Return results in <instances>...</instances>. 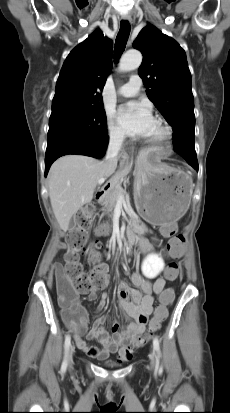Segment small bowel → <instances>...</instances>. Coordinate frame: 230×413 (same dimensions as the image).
Returning a JSON list of instances; mask_svg holds the SVG:
<instances>
[{"instance_id":"small-bowel-1","label":"small bowel","mask_w":230,"mask_h":413,"mask_svg":"<svg viewBox=\"0 0 230 413\" xmlns=\"http://www.w3.org/2000/svg\"><path fill=\"white\" fill-rule=\"evenodd\" d=\"M176 222H163L162 232L165 236L173 235L177 230ZM144 252L151 249V245L144 239H136V242ZM104 269V283L101 287L92 288L88 297L94 300L99 290L104 289L109 284L108 265L101 264ZM167 276L159 277L153 282L144 278L141 274L135 273L131 277L134 288L125 283L118 286L119 305L122 315L130 320L128 326L119 329V325L114 323L112 326V335L108 333L104 325L107 317L100 315L93 323L91 330L87 331L88 314L86 309L79 303L75 302L76 310H64L62 312L63 320L67 328L73 333L75 343L79 349L92 358L104 360L111 354L117 353L121 360H127L124 354L125 347L130 342H137L141 339L149 317L153 311L154 296L162 294L165 290ZM106 305V295L98 305L101 310ZM86 334L88 340H97L100 348L89 345L84 339Z\"/></svg>"}]
</instances>
